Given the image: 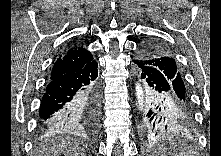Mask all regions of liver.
Masks as SVG:
<instances>
[{"instance_id": "1", "label": "liver", "mask_w": 221, "mask_h": 156, "mask_svg": "<svg viewBox=\"0 0 221 156\" xmlns=\"http://www.w3.org/2000/svg\"><path fill=\"white\" fill-rule=\"evenodd\" d=\"M36 156H86V146L70 137H54L34 149Z\"/></svg>"}]
</instances>
